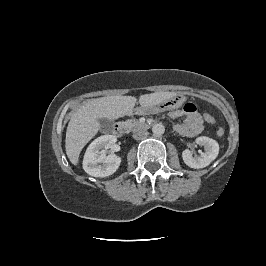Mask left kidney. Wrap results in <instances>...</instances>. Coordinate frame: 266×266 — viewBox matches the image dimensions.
Segmentation results:
<instances>
[{"instance_id": "5707ae66", "label": "left kidney", "mask_w": 266, "mask_h": 266, "mask_svg": "<svg viewBox=\"0 0 266 266\" xmlns=\"http://www.w3.org/2000/svg\"><path fill=\"white\" fill-rule=\"evenodd\" d=\"M196 143L204 147L205 152L199 156H193L192 152L188 149L182 152L184 163L194 169H200L208 166L219 153V144L209 137L201 136L196 138Z\"/></svg>"}]
</instances>
